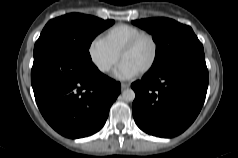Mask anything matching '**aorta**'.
I'll return each instance as SVG.
<instances>
[{
  "label": "aorta",
  "instance_id": "aorta-1",
  "mask_svg": "<svg viewBox=\"0 0 238 158\" xmlns=\"http://www.w3.org/2000/svg\"><path fill=\"white\" fill-rule=\"evenodd\" d=\"M122 97L125 101H133L135 99V92L132 89H126L122 92Z\"/></svg>",
  "mask_w": 238,
  "mask_h": 158
}]
</instances>
